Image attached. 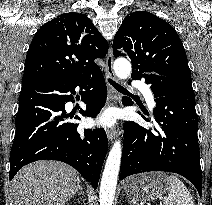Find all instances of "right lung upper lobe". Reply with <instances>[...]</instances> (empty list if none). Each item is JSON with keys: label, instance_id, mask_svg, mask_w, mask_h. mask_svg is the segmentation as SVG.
I'll return each mask as SVG.
<instances>
[{"label": "right lung upper lobe", "instance_id": "1", "mask_svg": "<svg viewBox=\"0 0 212 205\" xmlns=\"http://www.w3.org/2000/svg\"><path fill=\"white\" fill-rule=\"evenodd\" d=\"M107 52V41L85 14L59 15L35 34L27 52L22 86L98 73L100 68L94 60Z\"/></svg>", "mask_w": 212, "mask_h": 205}]
</instances>
